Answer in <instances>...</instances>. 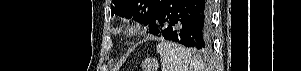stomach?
Instances as JSON below:
<instances>
[{
    "label": "stomach",
    "mask_w": 301,
    "mask_h": 71,
    "mask_svg": "<svg viewBox=\"0 0 301 71\" xmlns=\"http://www.w3.org/2000/svg\"><path fill=\"white\" fill-rule=\"evenodd\" d=\"M142 71H157L159 64L155 58H147L142 62Z\"/></svg>",
    "instance_id": "0dacf381"
}]
</instances>
